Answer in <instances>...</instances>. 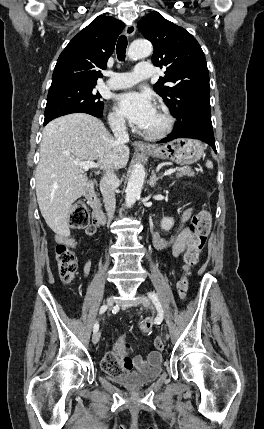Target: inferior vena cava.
Listing matches in <instances>:
<instances>
[{"label":"inferior vena cava","mask_w":264,"mask_h":429,"mask_svg":"<svg viewBox=\"0 0 264 429\" xmlns=\"http://www.w3.org/2000/svg\"><path fill=\"white\" fill-rule=\"evenodd\" d=\"M111 129L118 143H126L129 141L127 128L125 126L124 118H115L111 121ZM105 174L100 180V191L103 196L105 210L107 212V224H112L116 220L113 216L115 212V189L118 181L114 173V168L107 166L104 168Z\"/></svg>","instance_id":"obj_1"}]
</instances>
